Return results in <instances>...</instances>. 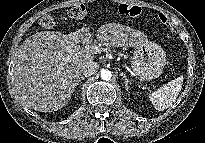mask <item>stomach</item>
Returning a JSON list of instances; mask_svg holds the SVG:
<instances>
[{"mask_svg": "<svg viewBox=\"0 0 205 143\" xmlns=\"http://www.w3.org/2000/svg\"><path fill=\"white\" fill-rule=\"evenodd\" d=\"M165 61L166 54L162 47L146 41L135 47L131 64L139 79L150 81L162 74Z\"/></svg>", "mask_w": 205, "mask_h": 143, "instance_id": "obj_1", "label": "stomach"}]
</instances>
